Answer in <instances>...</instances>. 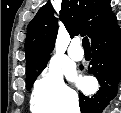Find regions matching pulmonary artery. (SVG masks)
I'll use <instances>...</instances> for the list:
<instances>
[{"label": "pulmonary artery", "mask_w": 121, "mask_h": 113, "mask_svg": "<svg viewBox=\"0 0 121 113\" xmlns=\"http://www.w3.org/2000/svg\"><path fill=\"white\" fill-rule=\"evenodd\" d=\"M69 57L74 61H80L84 57L83 51L80 49L77 43H72L68 49Z\"/></svg>", "instance_id": "obj_1"}]
</instances>
